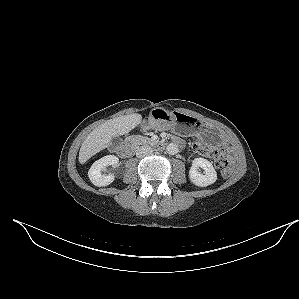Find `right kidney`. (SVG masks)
<instances>
[{"label":"right kidney","instance_id":"obj_1","mask_svg":"<svg viewBox=\"0 0 299 299\" xmlns=\"http://www.w3.org/2000/svg\"><path fill=\"white\" fill-rule=\"evenodd\" d=\"M119 159L114 155H107L101 159L95 161L89 169L88 176L90 181L98 187L107 186L114 181L115 176L113 174H102L105 167L111 165L113 168L118 166Z\"/></svg>","mask_w":299,"mask_h":299}]
</instances>
